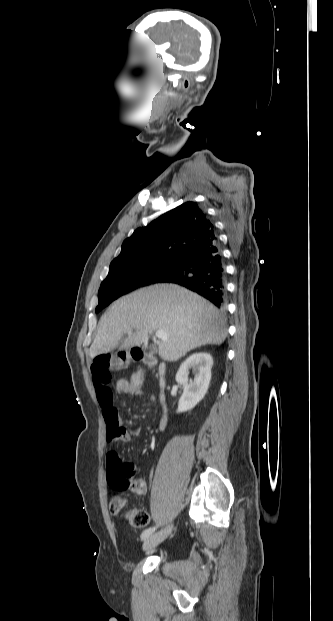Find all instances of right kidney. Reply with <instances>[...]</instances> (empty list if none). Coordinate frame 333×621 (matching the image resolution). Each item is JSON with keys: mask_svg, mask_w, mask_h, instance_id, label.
I'll use <instances>...</instances> for the list:
<instances>
[{"mask_svg": "<svg viewBox=\"0 0 333 621\" xmlns=\"http://www.w3.org/2000/svg\"><path fill=\"white\" fill-rule=\"evenodd\" d=\"M212 365L213 359L207 352L193 353L181 364L176 381L183 386V394L179 399L177 412L193 409L204 398L211 380ZM190 368L198 375L195 382L188 378Z\"/></svg>", "mask_w": 333, "mask_h": 621, "instance_id": "ca27d5eb", "label": "right kidney"}]
</instances>
